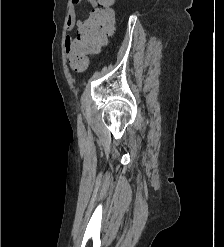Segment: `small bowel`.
Instances as JSON below:
<instances>
[{"mask_svg":"<svg viewBox=\"0 0 224 247\" xmlns=\"http://www.w3.org/2000/svg\"><path fill=\"white\" fill-rule=\"evenodd\" d=\"M84 3H89L93 8L97 6V0H71L67 14L66 28L68 31H76L77 35L85 22L77 18V9ZM65 48L69 58L72 61L80 55L77 37L67 36L65 39Z\"/></svg>","mask_w":224,"mask_h":247,"instance_id":"small-bowel-1","label":"small bowel"}]
</instances>
